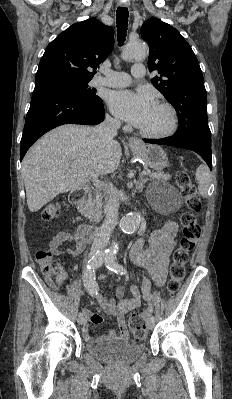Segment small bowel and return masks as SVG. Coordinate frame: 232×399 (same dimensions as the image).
Masks as SVG:
<instances>
[{"mask_svg": "<svg viewBox=\"0 0 232 399\" xmlns=\"http://www.w3.org/2000/svg\"><path fill=\"white\" fill-rule=\"evenodd\" d=\"M177 228L173 222H166L162 229L153 233L149 237H136L133 240V247L130 253V260L135 265L143 266L147 273L154 279L157 287H162L168 270V259L170 248L173 246L177 237ZM148 242L151 249L147 254L141 253V247ZM86 247L85 242H77L74 248H64L58 243L52 244V252L54 255L68 254L73 258H77L82 250ZM103 276V275H102ZM132 298L124 299L125 291L123 287L117 290L120 298L119 302L107 300L103 295L98 296V301L109 314H115L119 323V331L108 333L107 337L112 342H118L125 339L129 334V328L124 323V315L127 311L138 308L140 306V289L137 286L130 288ZM82 312L89 322L79 325L78 330L90 345H99L100 338L92 334L91 323H100L102 318L98 314L92 313L88 307H82Z\"/></svg>", "mask_w": 232, "mask_h": 399, "instance_id": "obj_1", "label": "small bowel"}]
</instances>
